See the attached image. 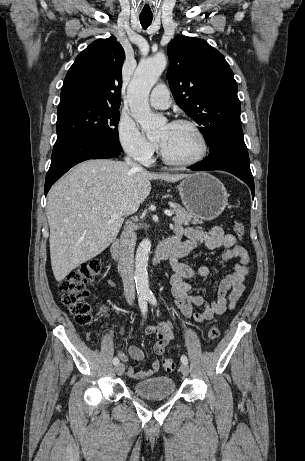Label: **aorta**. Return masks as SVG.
<instances>
[{"instance_id": "obj_1", "label": "aorta", "mask_w": 305, "mask_h": 461, "mask_svg": "<svg viewBox=\"0 0 305 461\" xmlns=\"http://www.w3.org/2000/svg\"><path fill=\"white\" fill-rule=\"evenodd\" d=\"M166 64L167 60L163 55L140 62L127 91L131 115L141 125L148 138L158 136L166 123V118L152 113L148 103L149 93ZM150 249L151 241L145 238L136 251L134 278L139 297L151 295L147 272Z\"/></svg>"}]
</instances>
